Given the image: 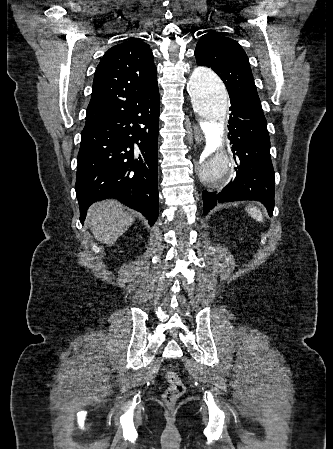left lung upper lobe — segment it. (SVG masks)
<instances>
[{
	"mask_svg": "<svg viewBox=\"0 0 333 449\" xmlns=\"http://www.w3.org/2000/svg\"><path fill=\"white\" fill-rule=\"evenodd\" d=\"M195 57L198 65L208 66L219 75L229 96L236 95L262 109L248 57L237 41L212 30L204 31Z\"/></svg>",
	"mask_w": 333,
	"mask_h": 449,
	"instance_id": "obj_1",
	"label": "left lung upper lobe"
}]
</instances>
